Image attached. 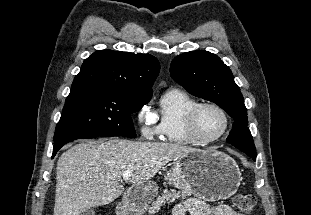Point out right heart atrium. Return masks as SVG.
I'll list each match as a JSON object with an SVG mask.
<instances>
[{"instance_id": "right-heart-atrium-1", "label": "right heart atrium", "mask_w": 311, "mask_h": 215, "mask_svg": "<svg viewBox=\"0 0 311 215\" xmlns=\"http://www.w3.org/2000/svg\"><path fill=\"white\" fill-rule=\"evenodd\" d=\"M136 122L143 138L152 140L160 136V126L155 114L151 111L149 105L144 104L136 112Z\"/></svg>"}]
</instances>
